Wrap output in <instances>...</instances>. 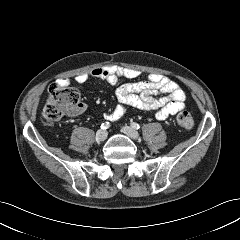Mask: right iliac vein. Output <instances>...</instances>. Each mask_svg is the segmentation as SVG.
I'll use <instances>...</instances> for the list:
<instances>
[{
	"instance_id": "63e3f726",
	"label": "right iliac vein",
	"mask_w": 240,
	"mask_h": 240,
	"mask_svg": "<svg viewBox=\"0 0 240 240\" xmlns=\"http://www.w3.org/2000/svg\"><path fill=\"white\" fill-rule=\"evenodd\" d=\"M107 138V131L106 130H98L96 133V140L97 141H104Z\"/></svg>"
}]
</instances>
